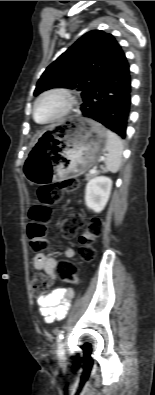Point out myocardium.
Masks as SVG:
<instances>
[{
	"label": "myocardium",
	"mask_w": 155,
	"mask_h": 395,
	"mask_svg": "<svg viewBox=\"0 0 155 395\" xmlns=\"http://www.w3.org/2000/svg\"><path fill=\"white\" fill-rule=\"evenodd\" d=\"M49 98L58 99L60 101V108L50 118L44 121H40L37 119L36 116L37 108L42 101ZM75 105H76V98L69 89L61 88V87L50 88L43 91L41 94H39L36 97L32 105L31 115L35 123L39 125H43V126L52 125L66 118L72 112Z\"/></svg>",
	"instance_id": "1"
}]
</instances>
